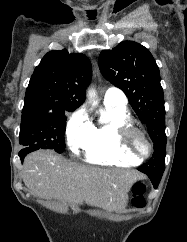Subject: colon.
<instances>
[{"label": "colon", "instance_id": "obj_1", "mask_svg": "<svg viewBox=\"0 0 187 242\" xmlns=\"http://www.w3.org/2000/svg\"><path fill=\"white\" fill-rule=\"evenodd\" d=\"M146 186L142 182H136L131 189V203L136 208H142L145 205Z\"/></svg>", "mask_w": 187, "mask_h": 242}]
</instances>
